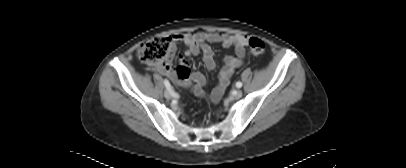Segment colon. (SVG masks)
<instances>
[{
	"mask_svg": "<svg viewBox=\"0 0 406 168\" xmlns=\"http://www.w3.org/2000/svg\"><path fill=\"white\" fill-rule=\"evenodd\" d=\"M248 52L254 56L264 54L266 45L260 38L251 37L247 41ZM173 48L172 39L169 37H157L143 43L138 49L139 58L150 65L161 64L168 58ZM185 71L184 67H178L177 73Z\"/></svg>",
	"mask_w": 406,
	"mask_h": 168,
	"instance_id": "5ec220e1",
	"label": "colon"
}]
</instances>
